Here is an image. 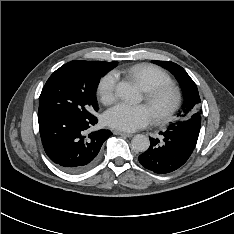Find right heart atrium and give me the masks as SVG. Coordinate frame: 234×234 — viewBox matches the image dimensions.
Here are the masks:
<instances>
[{
	"label": "right heart atrium",
	"mask_w": 234,
	"mask_h": 234,
	"mask_svg": "<svg viewBox=\"0 0 234 234\" xmlns=\"http://www.w3.org/2000/svg\"><path fill=\"white\" fill-rule=\"evenodd\" d=\"M117 78L113 72L106 73L100 79L97 92L104 103H110L115 98Z\"/></svg>",
	"instance_id": "1"
}]
</instances>
